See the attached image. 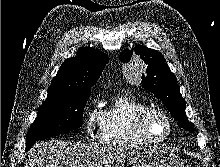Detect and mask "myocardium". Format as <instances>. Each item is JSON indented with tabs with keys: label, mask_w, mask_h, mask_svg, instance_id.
Returning a JSON list of instances; mask_svg holds the SVG:
<instances>
[{
	"label": "myocardium",
	"mask_w": 220,
	"mask_h": 167,
	"mask_svg": "<svg viewBox=\"0 0 220 167\" xmlns=\"http://www.w3.org/2000/svg\"><path fill=\"white\" fill-rule=\"evenodd\" d=\"M161 116L168 124V133L162 138H153L147 130V120L151 115ZM136 128L141 138L148 144H162L166 142L174 132V124L171 117L162 109L158 107H147L140 112L136 120Z\"/></svg>",
	"instance_id": "myocardium-1"
}]
</instances>
